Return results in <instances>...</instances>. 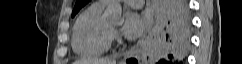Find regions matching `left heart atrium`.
<instances>
[{"mask_svg":"<svg viewBox=\"0 0 242 64\" xmlns=\"http://www.w3.org/2000/svg\"><path fill=\"white\" fill-rule=\"evenodd\" d=\"M144 22L142 17L136 13L128 11L124 16L123 33L128 38H136L143 33Z\"/></svg>","mask_w":242,"mask_h":64,"instance_id":"39dd6f15","label":"left heart atrium"}]
</instances>
